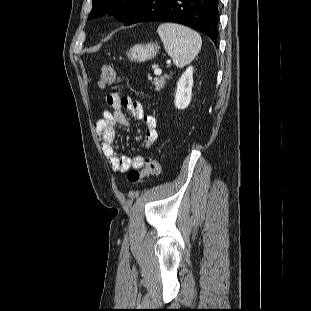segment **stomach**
Listing matches in <instances>:
<instances>
[{"label": "stomach", "mask_w": 311, "mask_h": 311, "mask_svg": "<svg viewBox=\"0 0 311 311\" xmlns=\"http://www.w3.org/2000/svg\"><path fill=\"white\" fill-rule=\"evenodd\" d=\"M159 46L152 42L147 44H136L127 52L130 60L135 62H144L156 56L159 51Z\"/></svg>", "instance_id": "stomach-1"}]
</instances>
